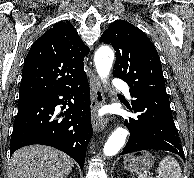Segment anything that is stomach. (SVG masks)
<instances>
[{"mask_svg": "<svg viewBox=\"0 0 194 178\" xmlns=\"http://www.w3.org/2000/svg\"><path fill=\"white\" fill-rule=\"evenodd\" d=\"M124 166L129 171H148L155 162V157L149 151H144L134 155H127L124 158Z\"/></svg>", "mask_w": 194, "mask_h": 178, "instance_id": "1", "label": "stomach"}]
</instances>
